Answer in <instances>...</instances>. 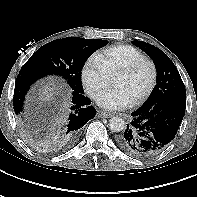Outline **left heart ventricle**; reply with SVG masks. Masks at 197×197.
Returning a JSON list of instances; mask_svg holds the SVG:
<instances>
[{"label": "left heart ventricle", "instance_id": "b2bd125f", "mask_svg": "<svg viewBox=\"0 0 197 197\" xmlns=\"http://www.w3.org/2000/svg\"><path fill=\"white\" fill-rule=\"evenodd\" d=\"M150 79L151 69L148 65H144L131 76H116L113 83L115 86L125 89L134 100L145 91Z\"/></svg>", "mask_w": 197, "mask_h": 197}]
</instances>
